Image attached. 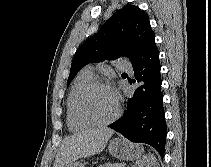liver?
<instances>
[{"label": "liver", "instance_id": "obj_1", "mask_svg": "<svg viewBox=\"0 0 211 167\" xmlns=\"http://www.w3.org/2000/svg\"><path fill=\"white\" fill-rule=\"evenodd\" d=\"M114 131L107 127L82 130L65 138L58 149L53 167H66L79 158L103 151Z\"/></svg>", "mask_w": 211, "mask_h": 167}]
</instances>
